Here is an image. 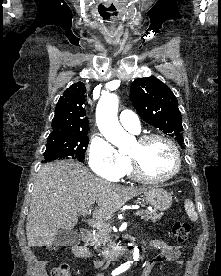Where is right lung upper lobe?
<instances>
[{"label": "right lung upper lobe", "instance_id": "1", "mask_svg": "<svg viewBox=\"0 0 221 276\" xmlns=\"http://www.w3.org/2000/svg\"><path fill=\"white\" fill-rule=\"evenodd\" d=\"M85 85L77 82L71 85L58 100L52 120L49 137H70L88 134L90 130L85 117Z\"/></svg>", "mask_w": 221, "mask_h": 276}]
</instances>
